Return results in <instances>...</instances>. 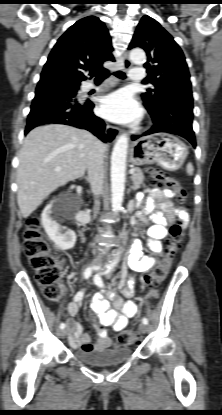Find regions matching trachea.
<instances>
[{"label": "trachea", "mask_w": 222, "mask_h": 415, "mask_svg": "<svg viewBox=\"0 0 222 415\" xmlns=\"http://www.w3.org/2000/svg\"><path fill=\"white\" fill-rule=\"evenodd\" d=\"M110 75V73H102V74H98L95 78L96 81H103L105 80L108 76ZM114 75L120 79H125L126 75L124 72L122 71H117L114 73Z\"/></svg>", "instance_id": "1"}]
</instances>
